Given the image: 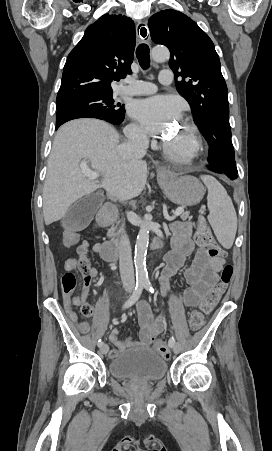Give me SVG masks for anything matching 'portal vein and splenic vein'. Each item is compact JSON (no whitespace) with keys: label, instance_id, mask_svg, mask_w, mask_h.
Returning <instances> with one entry per match:
<instances>
[{"label":"portal vein and splenic vein","instance_id":"portal-vein-and-splenic-vein-1","mask_svg":"<svg viewBox=\"0 0 272 451\" xmlns=\"http://www.w3.org/2000/svg\"><path fill=\"white\" fill-rule=\"evenodd\" d=\"M82 174H84V176H86L88 180H97V178H99L100 176L99 172H95V170H82ZM182 212H184L183 208H178V210H176L175 212V216H180ZM174 218H172V220H174Z\"/></svg>","mask_w":272,"mask_h":451}]
</instances>
